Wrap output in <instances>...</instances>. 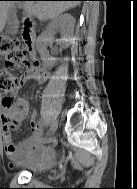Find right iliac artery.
Masks as SVG:
<instances>
[{
  "label": "right iliac artery",
  "instance_id": "1",
  "mask_svg": "<svg viewBox=\"0 0 137 189\" xmlns=\"http://www.w3.org/2000/svg\"><path fill=\"white\" fill-rule=\"evenodd\" d=\"M45 130H49L50 128V122H47V125H44ZM45 137V134H41V136H38V140L43 139Z\"/></svg>",
  "mask_w": 137,
  "mask_h": 189
}]
</instances>
